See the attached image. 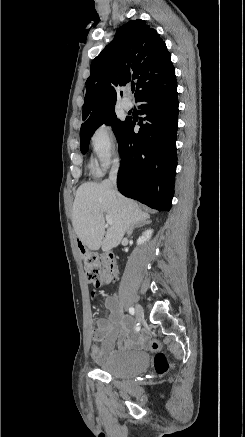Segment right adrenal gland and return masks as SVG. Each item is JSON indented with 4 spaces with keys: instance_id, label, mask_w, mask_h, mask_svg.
<instances>
[{
    "instance_id": "right-adrenal-gland-1",
    "label": "right adrenal gland",
    "mask_w": 245,
    "mask_h": 437,
    "mask_svg": "<svg viewBox=\"0 0 245 437\" xmlns=\"http://www.w3.org/2000/svg\"><path fill=\"white\" fill-rule=\"evenodd\" d=\"M147 223H149V221H147V222L145 221V222H141V223H137V224L132 225V226L128 229L127 234H131L132 231H133L135 228H137V227H141V226H143V225H145V224H147Z\"/></svg>"
}]
</instances>
